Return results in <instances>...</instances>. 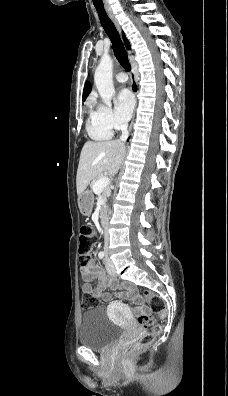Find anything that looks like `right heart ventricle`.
<instances>
[{
    "label": "right heart ventricle",
    "instance_id": "e07e8e85",
    "mask_svg": "<svg viewBox=\"0 0 228 396\" xmlns=\"http://www.w3.org/2000/svg\"><path fill=\"white\" fill-rule=\"evenodd\" d=\"M87 132L92 139L97 141L108 140L112 136V131L105 128L96 119L93 109H90V117L87 122Z\"/></svg>",
    "mask_w": 228,
    "mask_h": 396
}]
</instances>
